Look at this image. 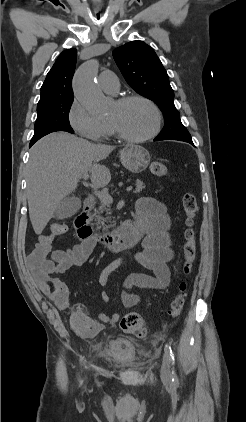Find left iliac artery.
Segmentation results:
<instances>
[{
  "label": "left iliac artery",
  "mask_w": 246,
  "mask_h": 422,
  "mask_svg": "<svg viewBox=\"0 0 246 422\" xmlns=\"http://www.w3.org/2000/svg\"><path fill=\"white\" fill-rule=\"evenodd\" d=\"M165 352L167 353V355L169 356L170 361L172 362V366H173V377H172V381L176 382L177 381V375L174 371V362H175V358H174V353L171 349V346L169 344L165 345Z\"/></svg>",
  "instance_id": "44dca946"
}]
</instances>
